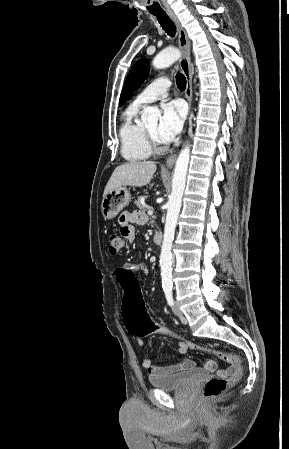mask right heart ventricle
<instances>
[{"label":"right heart ventricle","instance_id":"obj_1","mask_svg":"<svg viewBox=\"0 0 289 449\" xmlns=\"http://www.w3.org/2000/svg\"><path fill=\"white\" fill-rule=\"evenodd\" d=\"M140 106L131 104L123 113L119 129L121 154L129 161H140L150 157L152 151L144 133V126L139 122Z\"/></svg>","mask_w":289,"mask_h":449}]
</instances>
